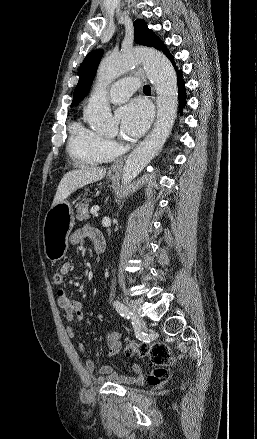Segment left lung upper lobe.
<instances>
[{"mask_svg":"<svg viewBox=\"0 0 257 439\" xmlns=\"http://www.w3.org/2000/svg\"><path fill=\"white\" fill-rule=\"evenodd\" d=\"M134 34V40L138 44L155 47L162 51L166 49L163 42L148 29L147 23L144 20L139 19L134 22ZM102 55L103 51L94 50L83 60L79 70V82L73 94L71 107L77 105L87 95Z\"/></svg>","mask_w":257,"mask_h":439,"instance_id":"1","label":"left lung upper lobe"}]
</instances>
